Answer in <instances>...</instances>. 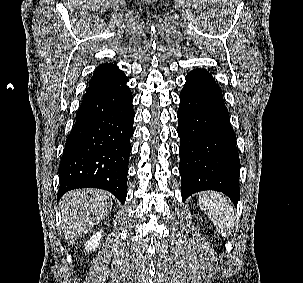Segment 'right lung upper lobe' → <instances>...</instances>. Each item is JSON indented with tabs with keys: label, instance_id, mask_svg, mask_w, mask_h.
Returning a JSON list of instances; mask_svg holds the SVG:
<instances>
[{
	"label": "right lung upper lobe",
	"instance_id": "1",
	"mask_svg": "<svg viewBox=\"0 0 303 283\" xmlns=\"http://www.w3.org/2000/svg\"><path fill=\"white\" fill-rule=\"evenodd\" d=\"M121 73L122 71L119 70V68L115 64H111V63L101 64L95 69L89 85H93L105 81Z\"/></svg>",
	"mask_w": 303,
	"mask_h": 283
}]
</instances>
